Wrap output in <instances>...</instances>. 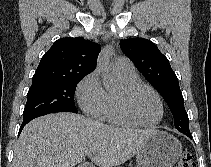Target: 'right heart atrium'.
<instances>
[{"mask_svg": "<svg viewBox=\"0 0 211 167\" xmlns=\"http://www.w3.org/2000/svg\"><path fill=\"white\" fill-rule=\"evenodd\" d=\"M76 96L86 114L95 117L102 115L106 104V92L96 71L89 73L79 82Z\"/></svg>", "mask_w": 211, "mask_h": 167, "instance_id": "right-heart-atrium-1", "label": "right heart atrium"}]
</instances>
